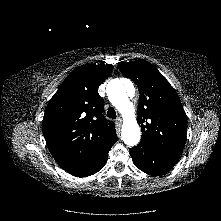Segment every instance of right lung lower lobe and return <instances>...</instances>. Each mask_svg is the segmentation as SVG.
Instances as JSON below:
<instances>
[{"label":"right lung lower lobe","instance_id":"right-lung-lower-lobe-1","mask_svg":"<svg viewBox=\"0 0 221 221\" xmlns=\"http://www.w3.org/2000/svg\"><path fill=\"white\" fill-rule=\"evenodd\" d=\"M109 144L101 151H99L91 160L82 164L80 166L74 167L72 169L66 170L68 173L77 176V177H87L95 174L99 170L103 168L105 163L107 162L108 153L112 147V145L116 142Z\"/></svg>","mask_w":221,"mask_h":221}]
</instances>
